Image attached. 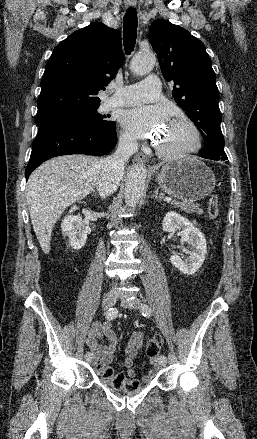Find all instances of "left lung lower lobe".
I'll return each mask as SVG.
<instances>
[{
    "instance_id": "1",
    "label": "left lung lower lobe",
    "mask_w": 257,
    "mask_h": 439,
    "mask_svg": "<svg viewBox=\"0 0 257 439\" xmlns=\"http://www.w3.org/2000/svg\"><path fill=\"white\" fill-rule=\"evenodd\" d=\"M219 159H221V160H226V159H227V156H224V157H221V158H218V159H214V160H219Z\"/></svg>"
}]
</instances>
